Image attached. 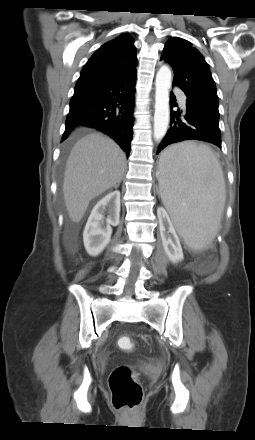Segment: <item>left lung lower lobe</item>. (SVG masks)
Returning <instances> with one entry per match:
<instances>
[{
	"instance_id": "1",
	"label": "left lung lower lobe",
	"mask_w": 255,
	"mask_h": 440,
	"mask_svg": "<svg viewBox=\"0 0 255 440\" xmlns=\"http://www.w3.org/2000/svg\"><path fill=\"white\" fill-rule=\"evenodd\" d=\"M174 94L171 93V98ZM171 107L176 106L170 103ZM180 112L172 111L170 128L158 147L157 154L172 143L184 140H200L212 143L221 148V131L219 129V111L192 104L187 101L183 119Z\"/></svg>"
}]
</instances>
